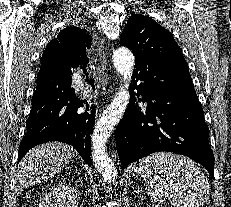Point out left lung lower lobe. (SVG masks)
<instances>
[{
    "mask_svg": "<svg viewBox=\"0 0 231 207\" xmlns=\"http://www.w3.org/2000/svg\"><path fill=\"white\" fill-rule=\"evenodd\" d=\"M132 78L131 100L116 129L122 167L153 152L169 151L200 163L214 178L209 129L189 72L141 58ZM140 101L147 106H138Z\"/></svg>",
    "mask_w": 231,
    "mask_h": 207,
    "instance_id": "left-lung-lower-lobe-1",
    "label": "left lung lower lobe"
}]
</instances>
